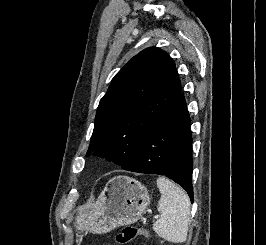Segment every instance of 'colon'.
I'll use <instances>...</instances> for the list:
<instances>
[{
  "label": "colon",
  "mask_w": 266,
  "mask_h": 245,
  "mask_svg": "<svg viewBox=\"0 0 266 245\" xmlns=\"http://www.w3.org/2000/svg\"><path fill=\"white\" fill-rule=\"evenodd\" d=\"M145 235H147V231L144 228L129 225L124 227L122 231L115 237V243L117 245H125L135 238Z\"/></svg>",
  "instance_id": "1"
}]
</instances>
